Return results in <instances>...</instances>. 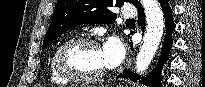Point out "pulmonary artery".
Returning a JSON list of instances; mask_svg holds the SVG:
<instances>
[{
    "instance_id": "obj_1",
    "label": "pulmonary artery",
    "mask_w": 205,
    "mask_h": 87,
    "mask_svg": "<svg viewBox=\"0 0 205 87\" xmlns=\"http://www.w3.org/2000/svg\"><path fill=\"white\" fill-rule=\"evenodd\" d=\"M123 18L128 19L135 15V9L131 6H124L121 11Z\"/></svg>"
}]
</instances>
